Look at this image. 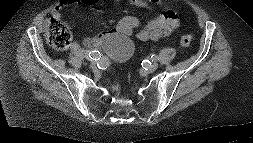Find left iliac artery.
Wrapping results in <instances>:
<instances>
[{"instance_id":"left-iliac-artery-1","label":"left iliac artery","mask_w":253,"mask_h":143,"mask_svg":"<svg viewBox=\"0 0 253 143\" xmlns=\"http://www.w3.org/2000/svg\"><path fill=\"white\" fill-rule=\"evenodd\" d=\"M151 59H152V61H156V60H158V56L157 55H152Z\"/></svg>"}]
</instances>
